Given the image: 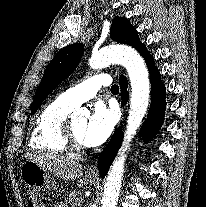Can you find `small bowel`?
I'll return each instance as SVG.
<instances>
[{"mask_svg": "<svg viewBox=\"0 0 206 207\" xmlns=\"http://www.w3.org/2000/svg\"><path fill=\"white\" fill-rule=\"evenodd\" d=\"M55 207H66V206L64 204H62V203H59Z\"/></svg>", "mask_w": 206, "mask_h": 207, "instance_id": "1", "label": "small bowel"}]
</instances>
